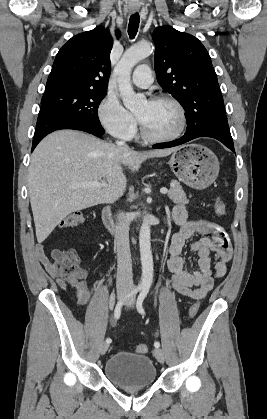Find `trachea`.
<instances>
[{
  "mask_svg": "<svg viewBox=\"0 0 267 419\" xmlns=\"http://www.w3.org/2000/svg\"><path fill=\"white\" fill-rule=\"evenodd\" d=\"M140 17L138 13L130 16L128 34L131 39L135 38L139 28Z\"/></svg>",
  "mask_w": 267,
  "mask_h": 419,
  "instance_id": "1",
  "label": "trachea"
}]
</instances>
